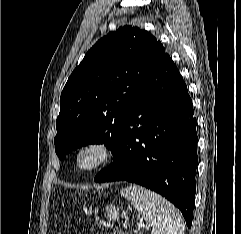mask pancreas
I'll return each mask as SVG.
<instances>
[{
    "instance_id": "cf45deb5",
    "label": "pancreas",
    "mask_w": 241,
    "mask_h": 234,
    "mask_svg": "<svg viewBox=\"0 0 241 234\" xmlns=\"http://www.w3.org/2000/svg\"><path fill=\"white\" fill-rule=\"evenodd\" d=\"M112 234H125V233L121 230H115Z\"/></svg>"
}]
</instances>
